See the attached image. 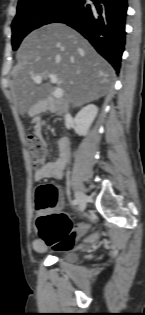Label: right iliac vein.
<instances>
[{"instance_id": "right-iliac-vein-1", "label": "right iliac vein", "mask_w": 145, "mask_h": 315, "mask_svg": "<svg viewBox=\"0 0 145 315\" xmlns=\"http://www.w3.org/2000/svg\"><path fill=\"white\" fill-rule=\"evenodd\" d=\"M75 197H76V200L78 201L80 210L83 211L86 208L88 197L81 191H76Z\"/></svg>"}]
</instances>
